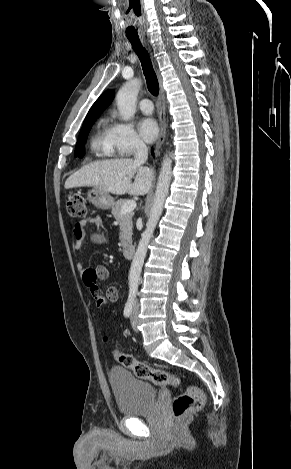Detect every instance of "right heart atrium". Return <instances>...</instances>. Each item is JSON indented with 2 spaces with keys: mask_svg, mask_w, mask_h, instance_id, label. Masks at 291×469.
<instances>
[{
  "mask_svg": "<svg viewBox=\"0 0 291 469\" xmlns=\"http://www.w3.org/2000/svg\"><path fill=\"white\" fill-rule=\"evenodd\" d=\"M107 132L111 149L118 155L129 156L145 147L142 138L129 123L115 120L108 126Z\"/></svg>",
  "mask_w": 291,
  "mask_h": 469,
  "instance_id": "d8ad5b80",
  "label": "right heart atrium"
}]
</instances>
